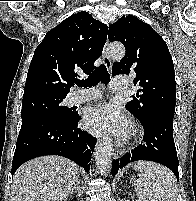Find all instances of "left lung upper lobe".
I'll return each mask as SVG.
<instances>
[{
    "label": "left lung upper lobe",
    "instance_id": "1",
    "mask_svg": "<svg viewBox=\"0 0 196 201\" xmlns=\"http://www.w3.org/2000/svg\"><path fill=\"white\" fill-rule=\"evenodd\" d=\"M109 41L124 44L126 54L115 62L112 75L135 71L140 89L126 109L141 123L153 117L174 118L176 83L173 60L162 37L150 25L133 16H122L109 25Z\"/></svg>",
    "mask_w": 196,
    "mask_h": 201
}]
</instances>
